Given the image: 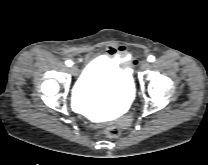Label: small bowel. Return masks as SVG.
<instances>
[{
  "label": "small bowel",
  "instance_id": "small-bowel-1",
  "mask_svg": "<svg viewBox=\"0 0 208 165\" xmlns=\"http://www.w3.org/2000/svg\"><path fill=\"white\" fill-rule=\"evenodd\" d=\"M98 56L97 51L91 52L88 57L94 58ZM106 56L109 58L119 59L122 63H132V57L126 46H110L106 50Z\"/></svg>",
  "mask_w": 208,
  "mask_h": 165
}]
</instances>
